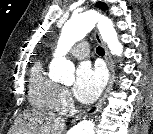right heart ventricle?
Segmentation results:
<instances>
[{
  "mask_svg": "<svg viewBox=\"0 0 153 134\" xmlns=\"http://www.w3.org/2000/svg\"><path fill=\"white\" fill-rule=\"evenodd\" d=\"M60 86L49 78L42 61H37L30 75L29 98L30 102L39 108L58 110L57 100Z\"/></svg>",
  "mask_w": 153,
  "mask_h": 134,
  "instance_id": "e07e8e85",
  "label": "right heart ventricle"
}]
</instances>
